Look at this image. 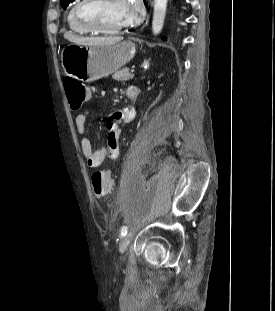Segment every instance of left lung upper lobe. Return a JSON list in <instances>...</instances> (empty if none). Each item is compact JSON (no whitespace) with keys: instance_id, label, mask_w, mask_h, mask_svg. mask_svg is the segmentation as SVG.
Segmentation results:
<instances>
[{"instance_id":"1","label":"left lung upper lobe","mask_w":275,"mask_h":311,"mask_svg":"<svg viewBox=\"0 0 275 311\" xmlns=\"http://www.w3.org/2000/svg\"><path fill=\"white\" fill-rule=\"evenodd\" d=\"M73 1L74 0H61V5H62L63 8H66Z\"/></svg>"}]
</instances>
